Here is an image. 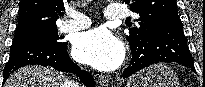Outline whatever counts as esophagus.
<instances>
[{
  "mask_svg": "<svg viewBox=\"0 0 205 87\" xmlns=\"http://www.w3.org/2000/svg\"><path fill=\"white\" fill-rule=\"evenodd\" d=\"M110 82V78L108 76L105 75H100L99 76V83L102 86H107Z\"/></svg>",
  "mask_w": 205,
  "mask_h": 87,
  "instance_id": "1",
  "label": "esophagus"
}]
</instances>
